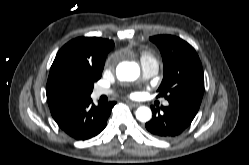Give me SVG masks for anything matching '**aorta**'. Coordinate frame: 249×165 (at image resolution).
<instances>
[{
	"mask_svg": "<svg viewBox=\"0 0 249 165\" xmlns=\"http://www.w3.org/2000/svg\"><path fill=\"white\" fill-rule=\"evenodd\" d=\"M117 78L121 81H133L140 75V68L135 62H122L116 69ZM152 112L150 108L141 106L136 110V118L141 122H147L151 119Z\"/></svg>",
	"mask_w": 249,
	"mask_h": 165,
	"instance_id": "obj_1",
	"label": "aorta"
}]
</instances>
